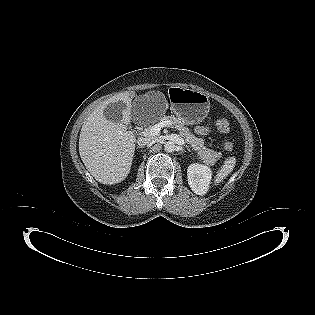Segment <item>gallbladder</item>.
<instances>
[{
  "instance_id": "gallbladder-1",
  "label": "gallbladder",
  "mask_w": 315,
  "mask_h": 315,
  "mask_svg": "<svg viewBox=\"0 0 315 315\" xmlns=\"http://www.w3.org/2000/svg\"><path fill=\"white\" fill-rule=\"evenodd\" d=\"M125 109V105L122 101L114 102L108 104L103 111L104 117L116 123H120L123 119V110Z\"/></svg>"
}]
</instances>
